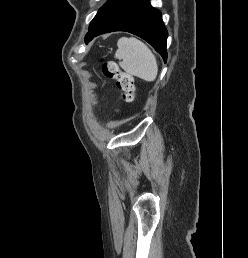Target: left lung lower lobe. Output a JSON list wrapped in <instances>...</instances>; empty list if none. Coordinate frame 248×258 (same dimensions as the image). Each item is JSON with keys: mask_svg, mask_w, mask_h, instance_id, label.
Masks as SVG:
<instances>
[{"mask_svg": "<svg viewBox=\"0 0 248 258\" xmlns=\"http://www.w3.org/2000/svg\"><path fill=\"white\" fill-rule=\"evenodd\" d=\"M114 31H126L147 41L167 60V30L161 19V12L151 7L149 0H129L101 23L89 30L88 43L94 36Z\"/></svg>", "mask_w": 248, "mask_h": 258, "instance_id": "0a47b994", "label": "left lung lower lobe"}]
</instances>
